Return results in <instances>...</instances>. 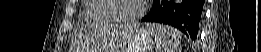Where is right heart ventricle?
<instances>
[{
	"label": "right heart ventricle",
	"mask_w": 261,
	"mask_h": 52,
	"mask_svg": "<svg viewBox=\"0 0 261 52\" xmlns=\"http://www.w3.org/2000/svg\"><path fill=\"white\" fill-rule=\"evenodd\" d=\"M110 0H85L83 14L87 22L93 24L115 23L108 8Z\"/></svg>",
	"instance_id": "e07e8e85"
}]
</instances>
